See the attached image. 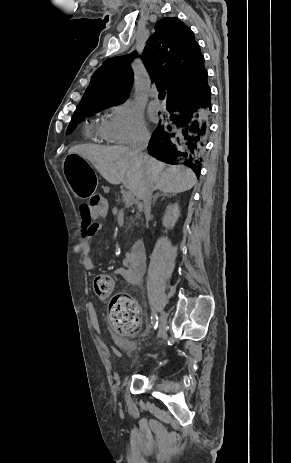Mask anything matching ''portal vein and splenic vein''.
Masks as SVG:
<instances>
[{
	"label": "portal vein and splenic vein",
	"mask_w": 291,
	"mask_h": 463,
	"mask_svg": "<svg viewBox=\"0 0 291 463\" xmlns=\"http://www.w3.org/2000/svg\"><path fill=\"white\" fill-rule=\"evenodd\" d=\"M123 201L128 206L132 205L134 203V195L132 194V192L130 190H127L123 194Z\"/></svg>",
	"instance_id": "portal-vein-and-splenic-vein-1"
}]
</instances>
